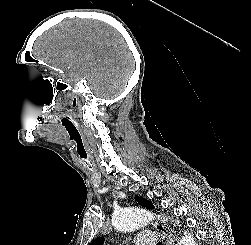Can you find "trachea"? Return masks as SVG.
Segmentation results:
<instances>
[{
  "label": "trachea",
  "instance_id": "3493384b",
  "mask_svg": "<svg viewBox=\"0 0 251 245\" xmlns=\"http://www.w3.org/2000/svg\"><path fill=\"white\" fill-rule=\"evenodd\" d=\"M157 245H161V243H157Z\"/></svg>",
  "mask_w": 251,
  "mask_h": 245
}]
</instances>
